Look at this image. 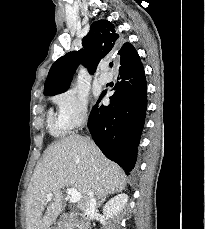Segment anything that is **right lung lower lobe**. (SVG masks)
<instances>
[{"instance_id":"98d812e1","label":"right lung lower lobe","mask_w":205,"mask_h":229,"mask_svg":"<svg viewBox=\"0 0 205 229\" xmlns=\"http://www.w3.org/2000/svg\"><path fill=\"white\" fill-rule=\"evenodd\" d=\"M118 79L108 106L98 108L106 92L100 95L90 113L88 127L105 156L129 174L136 162L147 107L146 79L140 59L120 69Z\"/></svg>"}]
</instances>
